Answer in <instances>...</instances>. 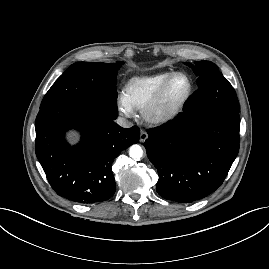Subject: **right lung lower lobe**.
Segmentation results:
<instances>
[{
  "label": "right lung lower lobe",
  "mask_w": 269,
  "mask_h": 269,
  "mask_svg": "<svg viewBox=\"0 0 269 269\" xmlns=\"http://www.w3.org/2000/svg\"><path fill=\"white\" fill-rule=\"evenodd\" d=\"M116 118L73 103L40 109L36 118V155L54 191L73 202L99 203L115 192L111 164L116 155L139 141L137 126L122 128ZM81 131L70 146L65 132Z\"/></svg>",
  "instance_id": "obj_1"
}]
</instances>
